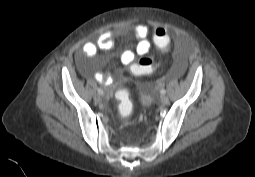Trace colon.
<instances>
[{
  "mask_svg": "<svg viewBox=\"0 0 255 177\" xmlns=\"http://www.w3.org/2000/svg\"><path fill=\"white\" fill-rule=\"evenodd\" d=\"M152 43L157 47L160 56L157 58L158 65L148 57L141 58L138 62L134 63L130 70L134 74H147L153 72L157 67L163 69L165 67V57L170 49V39L167 32L163 28H157L154 31ZM118 100V114L120 118L128 119L133 111V104L130 99V94L127 90H120L116 94Z\"/></svg>",
  "mask_w": 255,
  "mask_h": 177,
  "instance_id": "1",
  "label": "colon"
}]
</instances>
